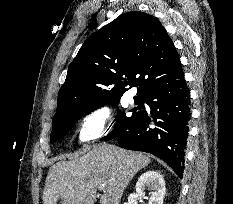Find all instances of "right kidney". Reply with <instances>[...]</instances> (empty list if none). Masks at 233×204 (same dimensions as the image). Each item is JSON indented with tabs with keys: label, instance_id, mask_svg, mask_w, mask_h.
<instances>
[{
	"label": "right kidney",
	"instance_id": "right-kidney-1",
	"mask_svg": "<svg viewBox=\"0 0 233 204\" xmlns=\"http://www.w3.org/2000/svg\"><path fill=\"white\" fill-rule=\"evenodd\" d=\"M150 191L149 204H163L166 193L163 176L154 170L143 173L136 183V193L130 194L128 203L137 204V200L145 196V190Z\"/></svg>",
	"mask_w": 233,
	"mask_h": 204
}]
</instances>
